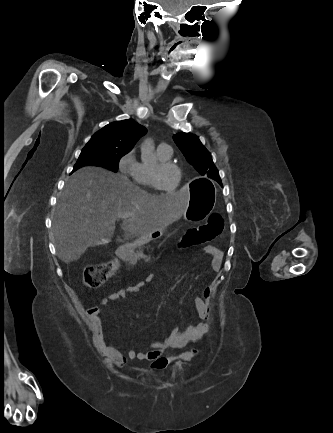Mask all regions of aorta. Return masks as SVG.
Wrapping results in <instances>:
<instances>
[{
    "instance_id": "762f6f07",
    "label": "aorta",
    "mask_w": 333,
    "mask_h": 433,
    "mask_svg": "<svg viewBox=\"0 0 333 433\" xmlns=\"http://www.w3.org/2000/svg\"><path fill=\"white\" fill-rule=\"evenodd\" d=\"M155 145L152 139H146L141 145V159L145 163H154Z\"/></svg>"
}]
</instances>
